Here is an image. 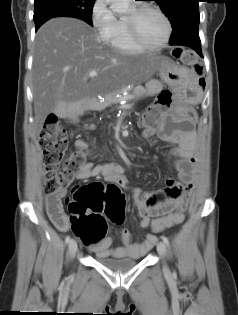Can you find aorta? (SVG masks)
Returning a JSON list of instances; mask_svg holds the SVG:
<instances>
[{"label": "aorta", "mask_w": 238, "mask_h": 315, "mask_svg": "<svg viewBox=\"0 0 238 315\" xmlns=\"http://www.w3.org/2000/svg\"><path fill=\"white\" fill-rule=\"evenodd\" d=\"M113 12L116 13H126L129 11L130 0H106Z\"/></svg>", "instance_id": "1"}]
</instances>
